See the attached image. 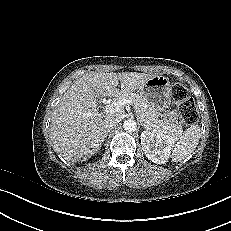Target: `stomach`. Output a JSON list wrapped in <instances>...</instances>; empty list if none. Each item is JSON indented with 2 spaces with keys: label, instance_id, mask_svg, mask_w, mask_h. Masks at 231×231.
<instances>
[{
  "label": "stomach",
  "instance_id": "obj_1",
  "mask_svg": "<svg viewBox=\"0 0 231 231\" xmlns=\"http://www.w3.org/2000/svg\"><path fill=\"white\" fill-rule=\"evenodd\" d=\"M138 93L150 106L162 110L171 103L172 86L168 77L154 75L138 90Z\"/></svg>",
  "mask_w": 231,
  "mask_h": 231
}]
</instances>
